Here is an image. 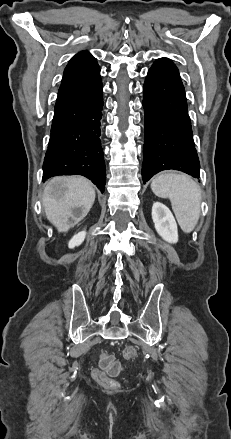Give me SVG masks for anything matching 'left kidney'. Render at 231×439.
<instances>
[{"label":"left kidney","mask_w":231,"mask_h":439,"mask_svg":"<svg viewBox=\"0 0 231 439\" xmlns=\"http://www.w3.org/2000/svg\"><path fill=\"white\" fill-rule=\"evenodd\" d=\"M152 219L157 233L168 243H177L178 229L175 218L169 208L160 202L152 206Z\"/></svg>","instance_id":"obj_1"}]
</instances>
